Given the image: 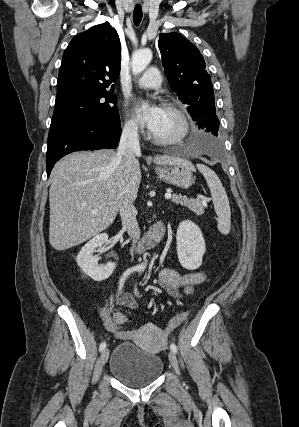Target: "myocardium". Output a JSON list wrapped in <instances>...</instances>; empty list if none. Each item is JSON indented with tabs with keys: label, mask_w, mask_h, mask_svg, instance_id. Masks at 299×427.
I'll return each mask as SVG.
<instances>
[{
	"label": "myocardium",
	"mask_w": 299,
	"mask_h": 427,
	"mask_svg": "<svg viewBox=\"0 0 299 427\" xmlns=\"http://www.w3.org/2000/svg\"><path fill=\"white\" fill-rule=\"evenodd\" d=\"M163 109L173 113L177 117L180 124V130L176 135L171 137H160L151 133V138L155 143L160 145H173L180 143L188 136L190 131L188 118L184 111L174 103H165L163 105Z\"/></svg>",
	"instance_id": "f54148a6"
}]
</instances>
